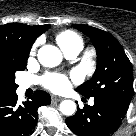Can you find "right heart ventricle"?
I'll list each match as a JSON object with an SVG mask.
<instances>
[{
	"label": "right heart ventricle",
	"mask_w": 136,
	"mask_h": 136,
	"mask_svg": "<svg viewBox=\"0 0 136 136\" xmlns=\"http://www.w3.org/2000/svg\"><path fill=\"white\" fill-rule=\"evenodd\" d=\"M56 40L63 51H68L75 48L81 50L83 47L81 37L74 31H63L57 35Z\"/></svg>",
	"instance_id": "right-heart-ventricle-1"
}]
</instances>
